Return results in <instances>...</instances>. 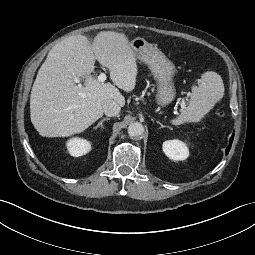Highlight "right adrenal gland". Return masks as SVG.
I'll return each instance as SVG.
<instances>
[{"instance_id": "2a0ac1e0", "label": "right adrenal gland", "mask_w": 255, "mask_h": 255, "mask_svg": "<svg viewBox=\"0 0 255 255\" xmlns=\"http://www.w3.org/2000/svg\"><path fill=\"white\" fill-rule=\"evenodd\" d=\"M107 120H110V118H103L97 125H96V127H95V129L96 128H98V127H100L101 129L103 128V122L104 121H107Z\"/></svg>"}]
</instances>
